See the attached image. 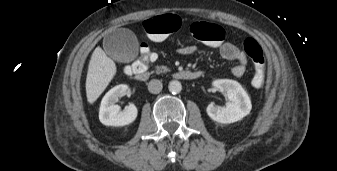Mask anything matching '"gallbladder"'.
<instances>
[{"label":"gallbladder","instance_id":"1","mask_svg":"<svg viewBox=\"0 0 337 171\" xmlns=\"http://www.w3.org/2000/svg\"><path fill=\"white\" fill-rule=\"evenodd\" d=\"M106 53L118 62L132 61L138 53V41L128 29L120 28L108 34L103 40Z\"/></svg>","mask_w":337,"mask_h":171}]
</instances>
